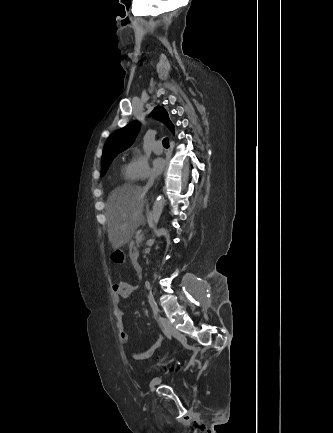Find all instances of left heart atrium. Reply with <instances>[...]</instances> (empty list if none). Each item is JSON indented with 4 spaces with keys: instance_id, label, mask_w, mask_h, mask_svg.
I'll use <instances>...</instances> for the list:
<instances>
[{
    "instance_id": "left-heart-atrium-1",
    "label": "left heart atrium",
    "mask_w": 333,
    "mask_h": 433,
    "mask_svg": "<svg viewBox=\"0 0 333 433\" xmlns=\"http://www.w3.org/2000/svg\"><path fill=\"white\" fill-rule=\"evenodd\" d=\"M163 168H164V161L161 158H156L153 161V169L155 174L161 173Z\"/></svg>"
}]
</instances>
